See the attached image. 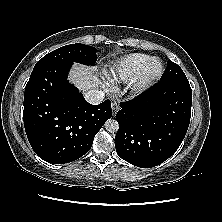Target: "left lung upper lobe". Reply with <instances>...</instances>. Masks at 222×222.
<instances>
[{"label": "left lung upper lobe", "mask_w": 222, "mask_h": 222, "mask_svg": "<svg viewBox=\"0 0 222 222\" xmlns=\"http://www.w3.org/2000/svg\"><path fill=\"white\" fill-rule=\"evenodd\" d=\"M160 81L162 82H188L184 72L182 69L171 60L167 61V68L165 69V72L163 73Z\"/></svg>", "instance_id": "left-lung-upper-lobe-1"}]
</instances>
